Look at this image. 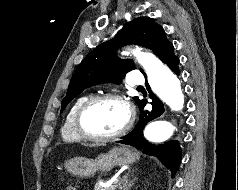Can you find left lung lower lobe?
I'll return each mask as SVG.
<instances>
[{
	"mask_svg": "<svg viewBox=\"0 0 238 190\" xmlns=\"http://www.w3.org/2000/svg\"><path fill=\"white\" fill-rule=\"evenodd\" d=\"M162 62L168 65V67L174 71L177 75L180 74L178 64L179 58L171 52ZM152 99V110H144L146 102L141 100L138 103L140 109L139 122L135 128L125 136L119 143L131 145L139 150H142L144 154L154 155L159 158L174 175L180 165L181 155L178 141H171L162 145H155L148 142L143 136L142 131L145 125L161 116L164 112L163 103L152 93H150Z\"/></svg>",
	"mask_w": 238,
	"mask_h": 190,
	"instance_id": "obj_1",
	"label": "left lung lower lobe"
}]
</instances>
